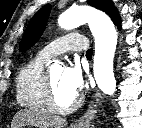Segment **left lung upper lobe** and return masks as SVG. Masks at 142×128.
I'll use <instances>...</instances> for the list:
<instances>
[{"label":"left lung upper lobe","instance_id":"1","mask_svg":"<svg viewBox=\"0 0 142 128\" xmlns=\"http://www.w3.org/2000/svg\"><path fill=\"white\" fill-rule=\"evenodd\" d=\"M87 3L106 12L116 26L120 25L121 19L112 0H87ZM50 9V5H45L33 16L20 42L19 51H26L40 38L45 29Z\"/></svg>","mask_w":142,"mask_h":128}]
</instances>
